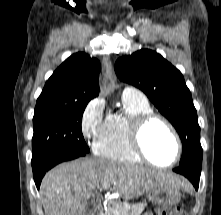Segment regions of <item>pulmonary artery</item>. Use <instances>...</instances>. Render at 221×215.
Listing matches in <instances>:
<instances>
[{"instance_id":"obj_1","label":"pulmonary artery","mask_w":221,"mask_h":215,"mask_svg":"<svg viewBox=\"0 0 221 215\" xmlns=\"http://www.w3.org/2000/svg\"><path fill=\"white\" fill-rule=\"evenodd\" d=\"M122 95L137 97V98L145 97L144 94L141 91H139L138 89L133 88V87H125L123 89Z\"/></svg>"}]
</instances>
